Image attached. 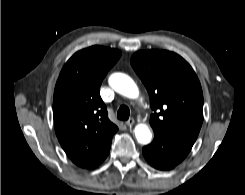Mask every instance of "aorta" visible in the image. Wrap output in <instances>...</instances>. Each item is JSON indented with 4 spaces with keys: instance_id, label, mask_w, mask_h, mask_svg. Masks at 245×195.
Here are the masks:
<instances>
[{
    "instance_id": "1",
    "label": "aorta",
    "mask_w": 245,
    "mask_h": 195,
    "mask_svg": "<svg viewBox=\"0 0 245 195\" xmlns=\"http://www.w3.org/2000/svg\"><path fill=\"white\" fill-rule=\"evenodd\" d=\"M110 86L119 94L128 98H136L139 95L138 87L135 82L126 74L114 73L109 78ZM137 141L141 144H148L151 141L152 134L148 126L138 124L134 130Z\"/></svg>"
}]
</instances>
